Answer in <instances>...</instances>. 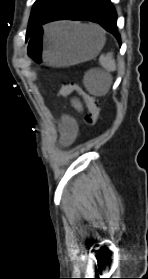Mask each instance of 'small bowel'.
<instances>
[{"label": "small bowel", "mask_w": 148, "mask_h": 279, "mask_svg": "<svg viewBox=\"0 0 148 279\" xmlns=\"http://www.w3.org/2000/svg\"><path fill=\"white\" fill-rule=\"evenodd\" d=\"M75 106L80 109V104L78 102H74ZM78 133V125L75 119L72 117H64L61 125V140L64 145L71 144L77 136Z\"/></svg>", "instance_id": "small-bowel-1"}]
</instances>
